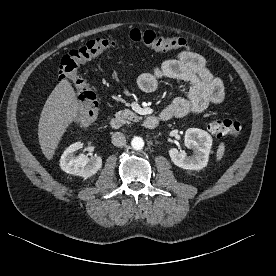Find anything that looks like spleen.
<instances>
[{
  "label": "spleen",
  "instance_id": "3e777b00",
  "mask_svg": "<svg viewBox=\"0 0 276 276\" xmlns=\"http://www.w3.org/2000/svg\"><path fill=\"white\" fill-rule=\"evenodd\" d=\"M224 151H225V146H224V143H221L219 146H218V149H217V153H216V157H217V160L220 161L224 155Z\"/></svg>",
  "mask_w": 276,
  "mask_h": 276
}]
</instances>
